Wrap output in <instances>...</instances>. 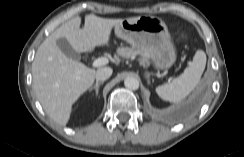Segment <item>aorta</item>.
<instances>
[{
	"label": "aorta",
	"instance_id": "obj_1",
	"mask_svg": "<svg viewBox=\"0 0 244 157\" xmlns=\"http://www.w3.org/2000/svg\"><path fill=\"white\" fill-rule=\"evenodd\" d=\"M124 85L130 90H137L139 88V81L137 78L129 76L125 78Z\"/></svg>",
	"mask_w": 244,
	"mask_h": 157
}]
</instances>
